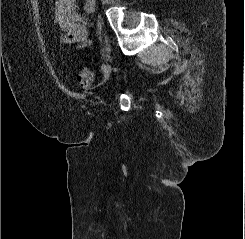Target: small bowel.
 Listing matches in <instances>:
<instances>
[{"label": "small bowel", "instance_id": "c3829d8e", "mask_svg": "<svg viewBox=\"0 0 245 239\" xmlns=\"http://www.w3.org/2000/svg\"><path fill=\"white\" fill-rule=\"evenodd\" d=\"M83 2V13L79 12L78 0H57L55 4V21L65 33L63 41L79 47L87 43L86 16L94 12L96 6V0Z\"/></svg>", "mask_w": 245, "mask_h": 239}]
</instances>
